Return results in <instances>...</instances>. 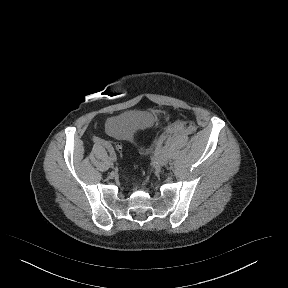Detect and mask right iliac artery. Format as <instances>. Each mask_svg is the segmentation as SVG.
<instances>
[{
    "label": "right iliac artery",
    "instance_id": "right-iliac-artery-1",
    "mask_svg": "<svg viewBox=\"0 0 288 288\" xmlns=\"http://www.w3.org/2000/svg\"><path fill=\"white\" fill-rule=\"evenodd\" d=\"M93 141H94L95 143L102 144L103 146H105V147L107 148L109 154H110V159H111L112 161H116V159H117L116 153H115L114 148H113V146L111 145V143H109L108 141H105V140H103V139H101V138H98V137H94V138H93Z\"/></svg>",
    "mask_w": 288,
    "mask_h": 288
}]
</instances>
